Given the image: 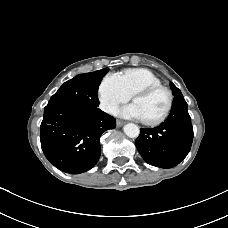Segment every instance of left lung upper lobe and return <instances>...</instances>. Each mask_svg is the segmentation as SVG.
Segmentation results:
<instances>
[{"label": "left lung upper lobe", "instance_id": "5c2ea615", "mask_svg": "<svg viewBox=\"0 0 228 228\" xmlns=\"http://www.w3.org/2000/svg\"><path fill=\"white\" fill-rule=\"evenodd\" d=\"M171 87H172L174 96L177 94H181V91L173 83H171Z\"/></svg>", "mask_w": 228, "mask_h": 228}]
</instances>
